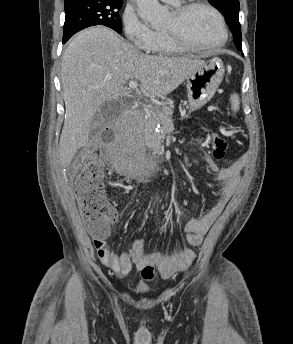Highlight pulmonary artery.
Returning <instances> with one entry per match:
<instances>
[{"label": "pulmonary artery", "instance_id": "obj_1", "mask_svg": "<svg viewBox=\"0 0 293 344\" xmlns=\"http://www.w3.org/2000/svg\"><path fill=\"white\" fill-rule=\"evenodd\" d=\"M161 1L170 3V4H176L179 0H161Z\"/></svg>", "mask_w": 293, "mask_h": 344}]
</instances>
